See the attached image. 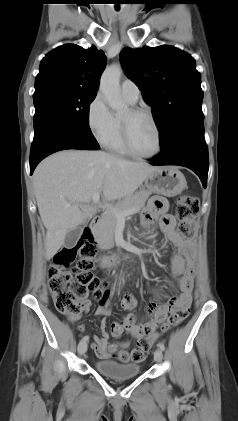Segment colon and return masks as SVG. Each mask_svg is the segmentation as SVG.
Segmentation results:
<instances>
[{
    "instance_id": "5ec220e1",
    "label": "colon",
    "mask_w": 238,
    "mask_h": 421,
    "mask_svg": "<svg viewBox=\"0 0 238 421\" xmlns=\"http://www.w3.org/2000/svg\"><path fill=\"white\" fill-rule=\"evenodd\" d=\"M198 201L190 195L178 199L176 216L179 232L192 243L195 238V220ZM97 248L89 233H85L76 245L61 248L49 267V290L56 309L69 317L78 316L86 309L85 297L91 292L100 301L106 283L94 275V257ZM78 258V259H77ZM77 259L75 267L71 264ZM189 309L173 308L162 331L180 325L188 316ZM158 333L141 337L130 352L121 350L116 357L121 362H142L146 352L157 339Z\"/></svg>"
}]
</instances>
